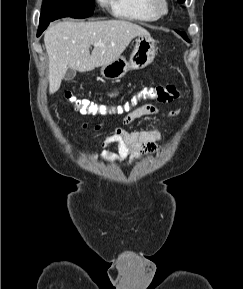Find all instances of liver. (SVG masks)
I'll list each match as a JSON object with an SVG mask.
<instances>
[{
  "instance_id": "liver-1",
  "label": "liver",
  "mask_w": 243,
  "mask_h": 289,
  "mask_svg": "<svg viewBox=\"0 0 243 289\" xmlns=\"http://www.w3.org/2000/svg\"><path fill=\"white\" fill-rule=\"evenodd\" d=\"M148 31L125 20L74 22L51 25L45 32L44 43L49 57V93L60 88L68 68L79 72L92 71L120 57L138 35ZM94 43L91 54L89 48Z\"/></svg>"
}]
</instances>
